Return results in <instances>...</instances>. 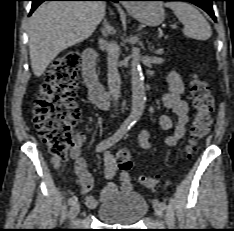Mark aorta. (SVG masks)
Wrapping results in <instances>:
<instances>
[{"label":"aorta","mask_w":234,"mask_h":231,"mask_svg":"<svg viewBox=\"0 0 234 231\" xmlns=\"http://www.w3.org/2000/svg\"><path fill=\"white\" fill-rule=\"evenodd\" d=\"M131 58L132 107L128 120L137 122L144 112L146 94L139 52L133 51Z\"/></svg>","instance_id":"1"}]
</instances>
